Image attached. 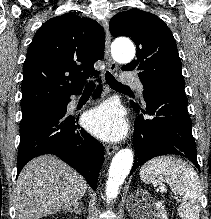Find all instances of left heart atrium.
<instances>
[{"mask_svg":"<svg viewBox=\"0 0 211 219\" xmlns=\"http://www.w3.org/2000/svg\"><path fill=\"white\" fill-rule=\"evenodd\" d=\"M84 123L90 132L106 141L119 140L127 131L120 109L111 103H105L89 111Z\"/></svg>","mask_w":211,"mask_h":219,"instance_id":"left-heart-atrium-1","label":"left heart atrium"}]
</instances>
